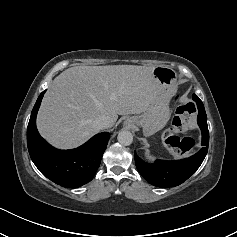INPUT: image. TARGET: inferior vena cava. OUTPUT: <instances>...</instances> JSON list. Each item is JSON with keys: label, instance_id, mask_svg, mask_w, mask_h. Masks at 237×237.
Returning <instances> with one entry per match:
<instances>
[{"label": "inferior vena cava", "instance_id": "1", "mask_svg": "<svg viewBox=\"0 0 237 237\" xmlns=\"http://www.w3.org/2000/svg\"><path fill=\"white\" fill-rule=\"evenodd\" d=\"M93 126L96 130H103L111 126L110 120L105 116H100L96 118L93 122Z\"/></svg>", "mask_w": 237, "mask_h": 237}]
</instances>
